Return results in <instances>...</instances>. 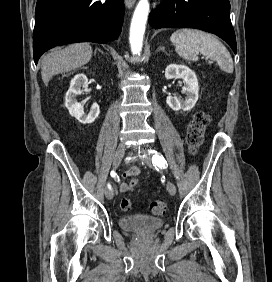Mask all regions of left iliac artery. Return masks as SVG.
I'll return each mask as SVG.
<instances>
[{
	"instance_id": "obj_1",
	"label": "left iliac artery",
	"mask_w": 272,
	"mask_h": 282,
	"mask_svg": "<svg viewBox=\"0 0 272 282\" xmlns=\"http://www.w3.org/2000/svg\"><path fill=\"white\" fill-rule=\"evenodd\" d=\"M152 153H154V156L152 158V162L155 164V167H159V168H165L167 165L166 160L164 159L163 156H160L159 154H157V151L153 150Z\"/></svg>"
}]
</instances>
